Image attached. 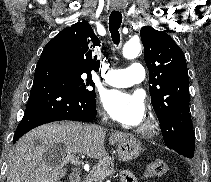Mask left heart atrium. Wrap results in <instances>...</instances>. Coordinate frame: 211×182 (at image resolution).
<instances>
[{
  "label": "left heart atrium",
  "mask_w": 211,
  "mask_h": 182,
  "mask_svg": "<svg viewBox=\"0 0 211 182\" xmlns=\"http://www.w3.org/2000/svg\"><path fill=\"white\" fill-rule=\"evenodd\" d=\"M102 104L108 114L125 126H138L145 119L143 98L122 90H107L102 94Z\"/></svg>",
  "instance_id": "left-heart-atrium-1"
}]
</instances>
